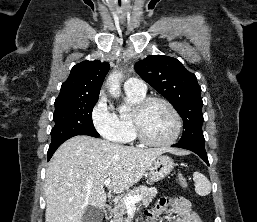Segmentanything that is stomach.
<instances>
[{
    "label": "stomach",
    "mask_w": 257,
    "mask_h": 222,
    "mask_svg": "<svg viewBox=\"0 0 257 222\" xmlns=\"http://www.w3.org/2000/svg\"><path fill=\"white\" fill-rule=\"evenodd\" d=\"M174 168V161L166 155L158 156L150 165L148 175L152 182L164 179Z\"/></svg>",
    "instance_id": "obj_1"
}]
</instances>
